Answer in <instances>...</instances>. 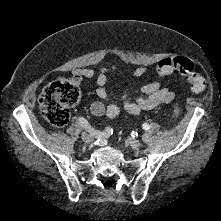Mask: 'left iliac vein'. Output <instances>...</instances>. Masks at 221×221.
I'll list each match as a JSON object with an SVG mask.
<instances>
[{"instance_id": "1", "label": "left iliac vein", "mask_w": 221, "mask_h": 221, "mask_svg": "<svg viewBox=\"0 0 221 221\" xmlns=\"http://www.w3.org/2000/svg\"><path fill=\"white\" fill-rule=\"evenodd\" d=\"M128 144L133 148V149H137L138 147L141 146V142L139 140L136 139H130L128 140Z\"/></svg>"}]
</instances>
